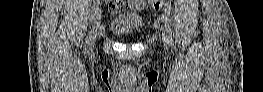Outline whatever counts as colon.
Returning <instances> with one entry per match:
<instances>
[{
	"instance_id": "colon-1",
	"label": "colon",
	"mask_w": 263,
	"mask_h": 92,
	"mask_svg": "<svg viewBox=\"0 0 263 92\" xmlns=\"http://www.w3.org/2000/svg\"><path fill=\"white\" fill-rule=\"evenodd\" d=\"M133 2V1H132ZM154 4V8L155 9H160L161 8V5L163 3H167V2H170V1H165V0H154V1H150Z\"/></svg>"
}]
</instances>
